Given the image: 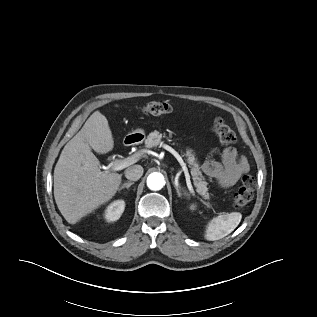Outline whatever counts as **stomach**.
<instances>
[{"label": "stomach", "instance_id": "obj_1", "mask_svg": "<svg viewBox=\"0 0 317 317\" xmlns=\"http://www.w3.org/2000/svg\"><path fill=\"white\" fill-rule=\"evenodd\" d=\"M129 135H137V138H139V140H141L145 136V132L142 129H136L132 133L128 134V136Z\"/></svg>", "mask_w": 317, "mask_h": 317}]
</instances>
